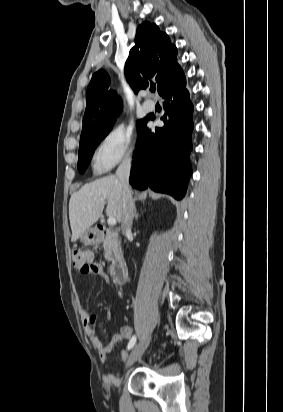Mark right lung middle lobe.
Returning a JSON list of instances; mask_svg holds the SVG:
<instances>
[{
	"mask_svg": "<svg viewBox=\"0 0 283 412\" xmlns=\"http://www.w3.org/2000/svg\"><path fill=\"white\" fill-rule=\"evenodd\" d=\"M143 121L144 119L138 120L137 126L140 127ZM110 130L111 129L94 133L80 139L78 170L81 174H83L88 167L96 147L106 137Z\"/></svg>",
	"mask_w": 283,
	"mask_h": 412,
	"instance_id": "right-lung-middle-lobe-1",
	"label": "right lung middle lobe"
}]
</instances>
